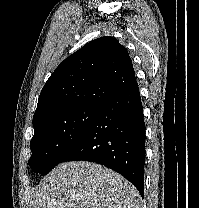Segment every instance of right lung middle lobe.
Instances as JSON below:
<instances>
[{"mask_svg":"<svg viewBox=\"0 0 199 208\" xmlns=\"http://www.w3.org/2000/svg\"><path fill=\"white\" fill-rule=\"evenodd\" d=\"M98 106H83L58 113L34 126L28 161L33 171L49 173L76 145L97 112Z\"/></svg>","mask_w":199,"mask_h":208,"instance_id":"right-lung-middle-lobe-1","label":"right lung middle lobe"}]
</instances>
